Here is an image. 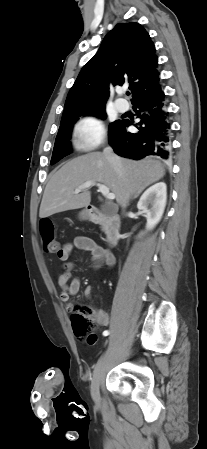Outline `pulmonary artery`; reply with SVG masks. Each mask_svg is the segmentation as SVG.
<instances>
[{"label": "pulmonary artery", "instance_id": "pulmonary-artery-1", "mask_svg": "<svg viewBox=\"0 0 207 449\" xmlns=\"http://www.w3.org/2000/svg\"><path fill=\"white\" fill-rule=\"evenodd\" d=\"M115 107L118 111L125 112L128 109V103L123 99H116Z\"/></svg>", "mask_w": 207, "mask_h": 449}]
</instances>
